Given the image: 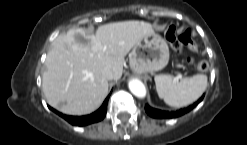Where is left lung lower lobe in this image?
Here are the masks:
<instances>
[{"instance_id": "obj_1", "label": "left lung lower lobe", "mask_w": 247, "mask_h": 145, "mask_svg": "<svg viewBox=\"0 0 247 145\" xmlns=\"http://www.w3.org/2000/svg\"><path fill=\"white\" fill-rule=\"evenodd\" d=\"M204 98V94L203 96L197 100V102H195L193 105H190L189 107H187L184 110H180L177 112H165V111H161L158 109H154L152 107H150L148 104L145 106V111L147 112V114H149L151 117L154 118H174V117H178L183 115L186 112H189L191 109H193L198 103H200L202 101V99Z\"/></svg>"}]
</instances>
